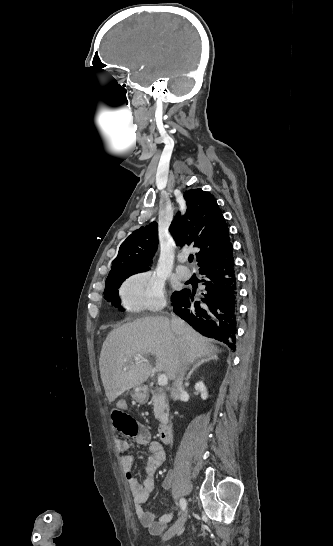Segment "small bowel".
<instances>
[{
	"label": "small bowel",
	"instance_id": "small-bowel-1",
	"mask_svg": "<svg viewBox=\"0 0 333 546\" xmlns=\"http://www.w3.org/2000/svg\"><path fill=\"white\" fill-rule=\"evenodd\" d=\"M119 409L121 412L126 410V402L120 401ZM124 413V412H123ZM125 414V413H124ZM127 418L134 424L136 431L132 434L131 437L137 443L148 444L150 455L146 461L145 465V475L141 482L132 477L133 470V458L127 454L128 449L130 448V442L125 439H118L116 441V448L120 453V461L123 467V470L128 478V484L131 490L133 502L135 505V513L141 522V524L148 528L153 533H159L163 530L165 525L170 522L173 514L167 513L159 518H155L154 513L145 511L142 505L147 501L150 492L154 488V476L157 469L164 463L166 455L164 447L158 441L151 440V434L147 428L143 425L138 424L132 417L125 414ZM165 487L170 486V481L166 480L164 482Z\"/></svg>",
	"mask_w": 333,
	"mask_h": 546
}]
</instances>
